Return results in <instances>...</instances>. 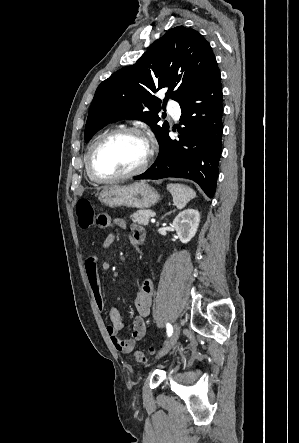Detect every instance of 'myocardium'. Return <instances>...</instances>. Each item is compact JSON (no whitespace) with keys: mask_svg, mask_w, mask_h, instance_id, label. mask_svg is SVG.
<instances>
[{"mask_svg":"<svg viewBox=\"0 0 299 443\" xmlns=\"http://www.w3.org/2000/svg\"><path fill=\"white\" fill-rule=\"evenodd\" d=\"M121 134H136L145 141L146 146H147V151L144 156V159L137 167L133 168L132 170H130L128 172H125V173H122L119 175H115V176H111V177L100 176L96 172V170L94 169V166H93V158H94L95 152L102 143H104L105 141H107L115 136L121 135ZM153 155H154V144L143 130H141L138 127H134V126L119 127V128H115L113 130H110V131L102 134L90 146V148L88 150L87 158H86V167H87L88 174L93 181L98 182V183H113V182L121 181V180H124L127 178H131L133 176H136V175L144 172L148 168V166L153 158Z\"/></svg>","mask_w":299,"mask_h":443,"instance_id":"myocardium-1","label":"myocardium"}]
</instances>
